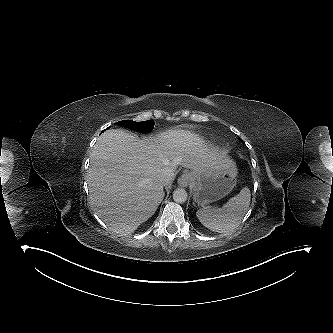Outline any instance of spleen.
Masks as SVG:
<instances>
[{"instance_id": "spleen-1", "label": "spleen", "mask_w": 333, "mask_h": 333, "mask_svg": "<svg viewBox=\"0 0 333 333\" xmlns=\"http://www.w3.org/2000/svg\"><path fill=\"white\" fill-rule=\"evenodd\" d=\"M250 199V190L244 187L221 208L207 206L199 209L196 216L208 229L218 233H229L239 226L249 208Z\"/></svg>"}]
</instances>
